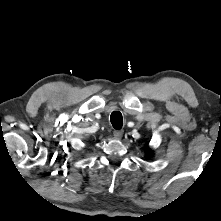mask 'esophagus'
<instances>
[{
	"mask_svg": "<svg viewBox=\"0 0 221 221\" xmlns=\"http://www.w3.org/2000/svg\"><path fill=\"white\" fill-rule=\"evenodd\" d=\"M123 133H124L123 130H115V131L113 132L114 136H115L117 139L122 138Z\"/></svg>",
	"mask_w": 221,
	"mask_h": 221,
	"instance_id": "1",
	"label": "esophagus"
}]
</instances>
